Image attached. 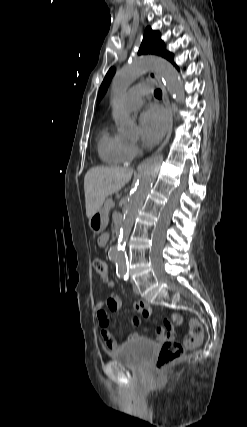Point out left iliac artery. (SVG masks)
Wrapping results in <instances>:
<instances>
[{"mask_svg": "<svg viewBox=\"0 0 247 427\" xmlns=\"http://www.w3.org/2000/svg\"><path fill=\"white\" fill-rule=\"evenodd\" d=\"M123 278H124L125 281H127L128 278H129L128 274L124 275Z\"/></svg>", "mask_w": 247, "mask_h": 427, "instance_id": "1", "label": "left iliac artery"}]
</instances>
